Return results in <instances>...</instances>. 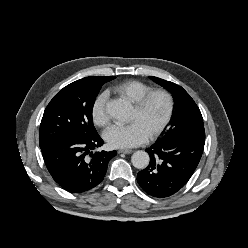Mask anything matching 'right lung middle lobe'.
<instances>
[{"mask_svg": "<svg viewBox=\"0 0 248 248\" xmlns=\"http://www.w3.org/2000/svg\"><path fill=\"white\" fill-rule=\"evenodd\" d=\"M103 84L77 80L53 97L41 120L40 148L68 135L97 134L92 121V109Z\"/></svg>", "mask_w": 248, "mask_h": 248, "instance_id": "obj_1", "label": "right lung middle lobe"}]
</instances>
